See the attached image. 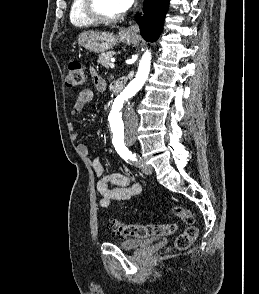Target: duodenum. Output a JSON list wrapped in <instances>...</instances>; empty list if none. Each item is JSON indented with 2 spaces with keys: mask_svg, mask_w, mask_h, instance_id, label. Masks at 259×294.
I'll return each mask as SVG.
<instances>
[{
  "mask_svg": "<svg viewBox=\"0 0 259 294\" xmlns=\"http://www.w3.org/2000/svg\"><path fill=\"white\" fill-rule=\"evenodd\" d=\"M126 85L125 78H119L117 79L113 84V92L115 95L120 94V92L123 90V88Z\"/></svg>",
  "mask_w": 259,
  "mask_h": 294,
  "instance_id": "duodenum-1",
  "label": "duodenum"
}]
</instances>
